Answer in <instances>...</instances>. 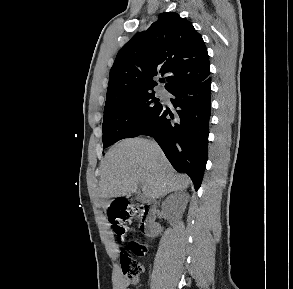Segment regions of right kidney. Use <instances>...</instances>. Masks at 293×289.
I'll use <instances>...</instances> for the list:
<instances>
[{
	"mask_svg": "<svg viewBox=\"0 0 293 289\" xmlns=\"http://www.w3.org/2000/svg\"><path fill=\"white\" fill-rule=\"evenodd\" d=\"M186 200H182L180 194L170 195L162 204V209L170 214L173 219L179 218L184 210Z\"/></svg>",
	"mask_w": 293,
	"mask_h": 289,
	"instance_id": "obj_1",
	"label": "right kidney"
}]
</instances>
